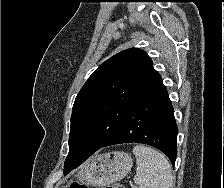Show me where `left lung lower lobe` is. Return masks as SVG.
Wrapping results in <instances>:
<instances>
[{"instance_id":"obj_1","label":"left lung lower lobe","mask_w":224,"mask_h":188,"mask_svg":"<svg viewBox=\"0 0 224 188\" xmlns=\"http://www.w3.org/2000/svg\"><path fill=\"white\" fill-rule=\"evenodd\" d=\"M177 133L168 92L160 80L132 103L119 125L100 148L132 142L148 144L166 154L174 165L177 156ZM79 165L65 170V174Z\"/></svg>"}]
</instances>
